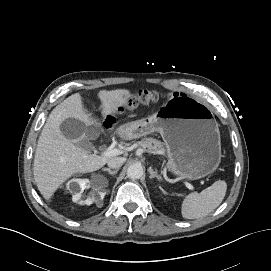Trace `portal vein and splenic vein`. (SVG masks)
Wrapping results in <instances>:
<instances>
[{
	"label": "portal vein and splenic vein",
	"instance_id": "18ae733b",
	"mask_svg": "<svg viewBox=\"0 0 271 271\" xmlns=\"http://www.w3.org/2000/svg\"><path fill=\"white\" fill-rule=\"evenodd\" d=\"M123 152H124L123 150L113 149L112 147H108L101 153V156H108V157L117 156V155L123 154ZM185 185L187 186L188 189L194 190V186L190 184L189 182H185Z\"/></svg>",
	"mask_w": 271,
	"mask_h": 271
}]
</instances>
